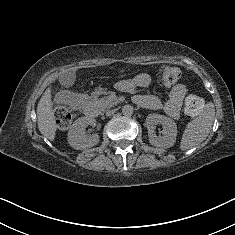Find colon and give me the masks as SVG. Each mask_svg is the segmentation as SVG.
<instances>
[{
    "mask_svg": "<svg viewBox=\"0 0 235 235\" xmlns=\"http://www.w3.org/2000/svg\"><path fill=\"white\" fill-rule=\"evenodd\" d=\"M179 77L178 70L171 67H163L158 70L157 72V80L160 86L162 87H170L174 84ZM203 108V101L195 96V95H188L185 99V107L184 113L185 115L190 118H196ZM54 118L57 126L65 130L67 129L72 121V114L71 112L64 106H56L54 108Z\"/></svg>",
    "mask_w": 235,
    "mask_h": 235,
    "instance_id": "obj_1",
    "label": "colon"
}]
</instances>
